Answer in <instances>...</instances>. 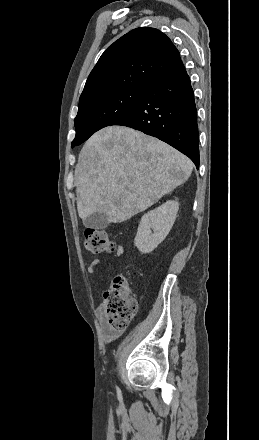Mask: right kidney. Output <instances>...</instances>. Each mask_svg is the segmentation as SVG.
<instances>
[{
  "instance_id": "1",
  "label": "right kidney",
  "mask_w": 259,
  "mask_h": 440,
  "mask_svg": "<svg viewBox=\"0 0 259 440\" xmlns=\"http://www.w3.org/2000/svg\"><path fill=\"white\" fill-rule=\"evenodd\" d=\"M178 209V201L169 200L142 216L134 239L135 246L142 254L151 253L166 238Z\"/></svg>"
}]
</instances>
